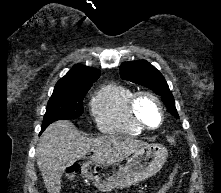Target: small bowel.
Segmentation results:
<instances>
[{
    "label": "small bowel",
    "instance_id": "1",
    "mask_svg": "<svg viewBox=\"0 0 221 193\" xmlns=\"http://www.w3.org/2000/svg\"><path fill=\"white\" fill-rule=\"evenodd\" d=\"M159 193H166L165 190L162 188Z\"/></svg>",
    "mask_w": 221,
    "mask_h": 193
}]
</instances>
